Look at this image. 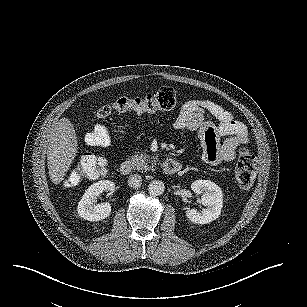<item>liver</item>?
Wrapping results in <instances>:
<instances>
[{"instance_id": "obj_1", "label": "liver", "mask_w": 307, "mask_h": 307, "mask_svg": "<svg viewBox=\"0 0 307 307\" xmlns=\"http://www.w3.org/2000/svg\"><path fill=\"white\" fill-rule=\"evenodd\" d=\"M74 128L66 118L60 119L54 129L47 148V167L54 183H60L76 152Z\"/></svg>"}]
</instances>
